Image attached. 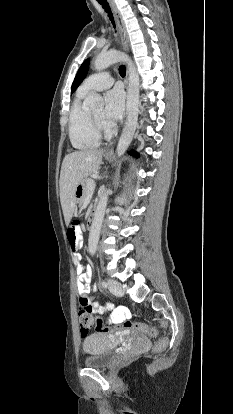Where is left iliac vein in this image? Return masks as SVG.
<instances>
[{
	"label": "left iliac vein",
	"instance_id": "4c4485c4",
	"mask_svg": "<svg viewBox=\"0 0 233 414\" xmlns=\"http://www.w3.org/2000/svg\"><path fill=\"white\" fill-rule=\"evenodd\" d=\"M110 292L115 296H122L123 291L121 288V284L115 280H110L108 282Z\"/></svg>",
	"mask_w": 233,
	"mask_h": 414
}]
</instances>
